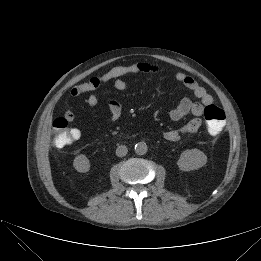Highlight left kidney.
<instances>
[{
  "label": "left kidney",
  "mask_w": 261,
  "mask_h": 261,
  "mask_svg": "<svg viewBox=\"0 0 261 261\" xmlns=\"http://www.w3.org/2000/svg\"><path fill=\"white\" fill-rule=\"evenodd\" d=\"M207 163V156L199 149H187L181 153L177 165L182 171L197 170Z\"/></svg>",
  "instance_id": "1"
}]
</instances>
